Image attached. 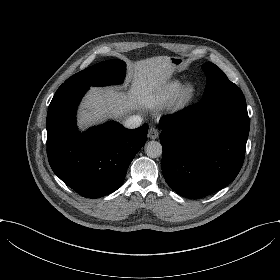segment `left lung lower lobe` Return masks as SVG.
<instances>
[{"label":"left lung lower lobe","instance_id":"0a47b994","mask_svg":"<svg viewBox=\"0 0 280 280\" xmlns=\"http://www.w3.org/2000/svg\"><path fill=\"white\" fill-rule=\"evenodd\" d=\"M160 126L163 176L181 196L196 199L210 195L238 175L250 126L239 87L163 117Z\"/></svg>","mask_w":280,"mask_h":280}]
</instances>
